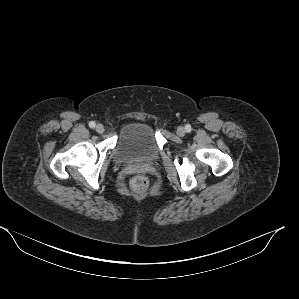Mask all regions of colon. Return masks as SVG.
<instances>
[{
    "label": "colon",
    "instance_id": "1",
    "mask_svg": "<svg viewBox=\"0 0 299 299\" xmlns=\"http://www.w3.org/2000/svg\"><path fill=\"white\" fill-rule=\"evenodd\" d=\"M149 181L144 175H137L131 180V186L135 191L142 192L148 188Z\"/></svg>",
    "mask_w": 299,
    "mask_h": 299
}]
</instances>
